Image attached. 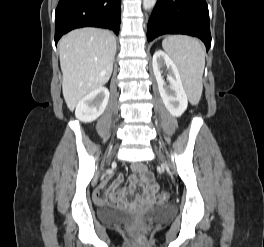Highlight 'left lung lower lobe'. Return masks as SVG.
I'll list each match as a JSON object with an SVG mask.
<instances>
[{"mask_svg": "<svg viewBox=\"0 0 264 247\" xmlns=\"http://www.w3.org/2000/svg\"><path fill=\"white\" fill-rule=\"evenodd\" d=\"M164 34H186L211 46L209 12L205 0H157L147 27V40Z\"/></svg>", "mask_w": 264, "mask_h": 247, "instance_id": "obj_1", "label": "left lung lower lobe"}]
</instances>
